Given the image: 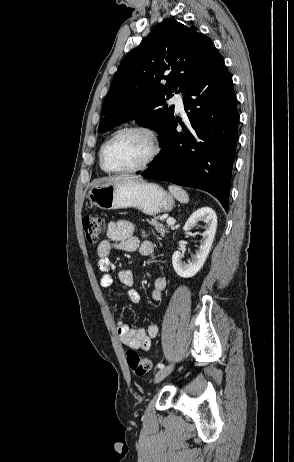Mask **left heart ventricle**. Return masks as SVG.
<instances>
[{
	"label": "left heart ventricle",
	"instance_id": "left-heart-ventricle-1",
	"mask_svg": "<svg viewBox=\"0 0 294 462\" xmlns=\"http://www.w3.org/2000/svg\"><path fill=\"white\" fill-rule=\"evenodd\" d=\"M151 150L148 138L138 132L118 136L106 149L105 164L109 169H125L139 165Z\"/></svg>",
	"mask_w": 294,
	"mask_h": 462
}]
</instances>
